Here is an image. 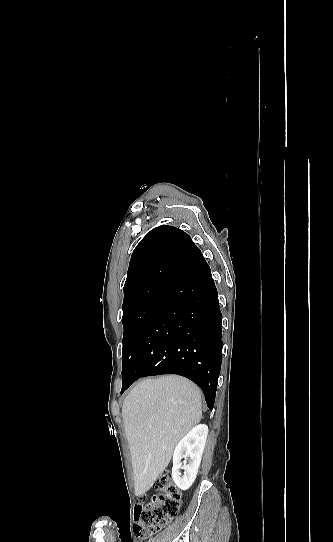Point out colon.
I'll return each mask as SVG.
<instances>
[{
  "mask_svg": "<svg viewBox=\"0 0 333 542\" xmlns=\"http://www.w3.org/2000/svg\"><path fill=\"white\" fill-rule=\"evenodd\" d=\"M160 494L152 499L147 495L141 497L134 516V530L138 537H149L158 532L172 520L181 506V493L169 472L161 474L155 481Z\"/></svg>",
  "mask_w": 333,
  "mask_h": 542,
  "instance_id": "5ec220e1",
  "label": "colon"
}]
</instances>
